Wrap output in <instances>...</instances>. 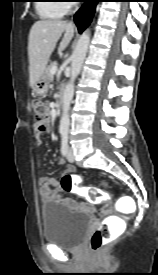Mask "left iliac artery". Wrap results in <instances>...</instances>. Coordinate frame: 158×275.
I'll return each mask as SVG.
<instances>
[{
	"label": "left iliac artery",
	"instance_id": "obj_1",
	"mask_svg": "<svg viewBox=\"0 0 158 275\" xmlns=\"http://www.w3.org/2000/svg\"><path fill=\"white\" fill-rule=\"evenodd\" d=\"M61 137V153L65 156L68 150V132H62Z\"/></svg>",
	"mask_w": 158,
	"mask_h": 275
}]
</instances>
